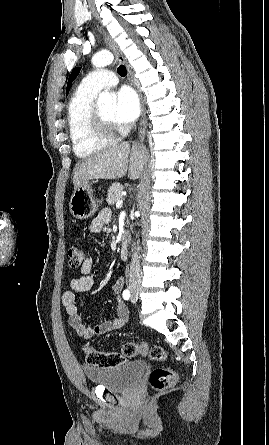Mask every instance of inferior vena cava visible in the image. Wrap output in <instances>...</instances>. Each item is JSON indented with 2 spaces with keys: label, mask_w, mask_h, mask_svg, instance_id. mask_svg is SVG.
<instances>
[{
  "label": "inferior vena cava",
  "mask_w": 269,
  "mask_h": 445,
  "mask_svg": "<svg viewBox=\"0 0 269 445\" xmlns=\"http://www.w3.org/2000/svg\"><path fill=\"white\" fill-rule=\"evenodd\" d=\"M141 279V267L137 253H134L130 264L129 280L135 281Z\"/></svg>",
  "instance_id": "602c4592"
}]
</instances>
